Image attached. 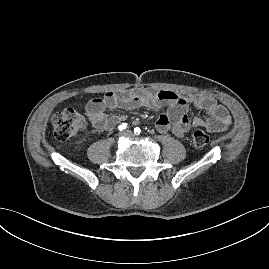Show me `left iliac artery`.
Segmentation results:
<instances>
[{
  "mask_svg": "<svg viewBox=\"0 0 269 269\" xmlns=\"http://www.w3.org/2000/svg\"><path fill=\"white\" fill-rule=\"evenodd\" d=\"M134 133L139 135L141 133V129L139 127L134 128Z\"/></svg>",
  "mask_w": 269,
  "mask_h": 269,
  "instance_id": "obj_1",
  "label": "left iliac artery"
}]
</instances>
